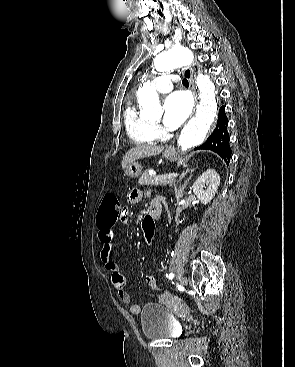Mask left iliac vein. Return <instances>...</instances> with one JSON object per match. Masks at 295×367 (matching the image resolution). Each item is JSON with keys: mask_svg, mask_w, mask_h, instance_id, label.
<instances>
[{"mask_svg": "<svg viewBox=\"0 0 295 367\" xmlns=\"http://www.w3.org/2000/svg\"><path fill=\"white\" fill-rule=\"evenodd\" d=\"M187 282L188 281H187L186 277L183 276V277L180 278V284H181L182 287H185L187 285Z\"/></svg>", "mask_w": 295, "mask_h": 367, "instance_id": "4c4485c4", "label": "left iliac vein"}]
</instances>
